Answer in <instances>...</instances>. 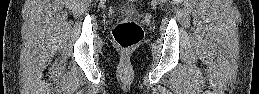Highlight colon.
<instances>
[{"instance_id": "obj_1", "label": "colon", "mask_w": 259, "mask_h": 94, "mask_svg": "<svg viewBox=\"0 0 259 94\" xmlns=\"http://www.w3.org/2000/svg\"><path fill=\"white\" fill-rule=\"evenodd\" d=\"M112 36L120 49L130 50L141 42L143 29L137 22L123 19L114 25Z\"/></svg>"}]
</instances>
